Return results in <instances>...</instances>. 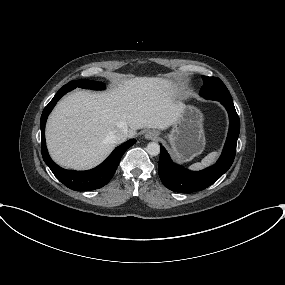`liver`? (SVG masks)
Instances as JSON below:
<instances>
[{
	"label": "liver",
	"instance_id": "liver-1",
	"mask_svg": "<svg viewBox=\"0 0 285 285\" xmlns=\"http://www.w3.org/2000/svg\"><path fill=\"white\" fill-rule=\"evenodd\" d=\"M169 79L135 77L120 81L109 92L76 91L63 98L46 124L52 159L65 168L84 170L102 162L114 149L113 132L129 136L142 128L164 130L173 125L182 104Z\"/></svg>",
	"mask_w": 285,
	"mask_h": 285
}]
</instances>
